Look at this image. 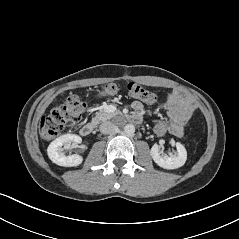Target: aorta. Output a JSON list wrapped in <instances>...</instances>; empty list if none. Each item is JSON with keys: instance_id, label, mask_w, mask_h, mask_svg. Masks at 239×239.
Returning <instances> with one entry per match:
<instances>
[{"instance_id": "obj_1", "label": "aorta", "mask_w": 239, "mask_h": 239, "mask_svg": "<svg viewBox=\"0 0 239 239\" xmlns=\"http://www.w3.org/2000/svg\"><path fill=\"white\" fill-rule=\"evenodd\" d=\"M124 132L126 135H132L135 132V127L132 124H127L124 127Z\"/></svg>"}]
</instances>
